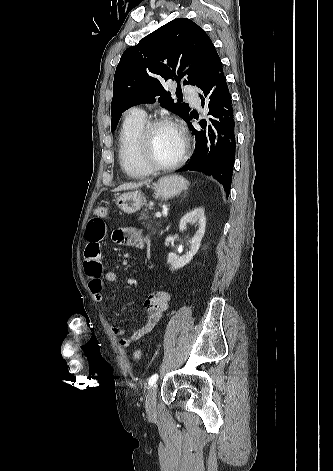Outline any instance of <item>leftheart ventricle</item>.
<instances>
[{
    "label": "left heart ventricle",
    "mask_w": 333,
    "mask_h": 471,
    "mask_svg": "<svg viewBox=\"0 0 333 471\" xmlns=\"http://www.w3.org/2000/svg\"><path fill=\"white\" fill-rule=\"evenodd\" d=\"M181 147L180 135L170 126L158 127L152 134V155L159 163L167 164L174 161L180 154Z\"/></svg>",
    "instance_id": "obj_1"
}]
</instances>
